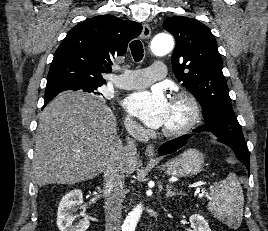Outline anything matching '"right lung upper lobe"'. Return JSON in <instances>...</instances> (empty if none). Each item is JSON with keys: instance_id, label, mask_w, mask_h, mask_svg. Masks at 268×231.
Instances as JSON below:
<instances>
[{"instance_id": "right-lung-upper-lobe-1", "label": "right lung upper lobe", "mask_w": 268, "mask_h": 231, "mask_svg": "<svg viewBox=\"0 0 268 231\" xmlns=\"http://www.w3.org/2000/svg\"><path fill=\"white\" fill-rule=\"evenodd\" d=\"M142 26L130 20L100 15L74 26L57 48L47 76V87L97 86L111 72L112 59L126 52ZM45 96V103L52 100Z\"/></svg>"}]
</instances>
